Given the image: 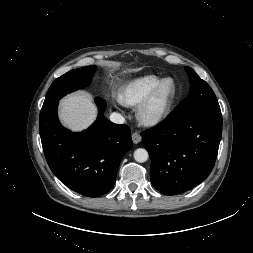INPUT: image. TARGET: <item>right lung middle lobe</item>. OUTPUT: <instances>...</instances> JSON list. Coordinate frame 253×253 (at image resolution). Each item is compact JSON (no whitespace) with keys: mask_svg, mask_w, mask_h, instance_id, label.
<instances>
[{"mask_svg":"<svg viewBox=\"0 0 253 253\" xmlns=\"http://www.w3.org/2000/svg\"><path fill=\"white\" fill-rule=\"evenodd\" d=\"M95 68L92 66L71 70L57 78L50 86L41 110L57 103L63 96L86 87L92 79Z\"/></svg>","mask_w":253,"mask_h":253,"instance_id":"obj_1","label":"right lung middle lobe"}]
</instances>
